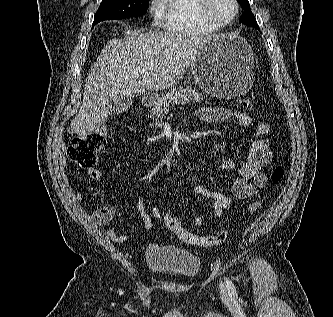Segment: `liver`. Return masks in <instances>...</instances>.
<instances>
[{"label":"liver","instance_id":"obj_1","mask_svg":"<svg viewBox=\"0 0 333 317\" xmlns=\"http://www.w3.org/2000/svg\"><path fill=\"white\" fill-rule=\"evenodd\" d=\"M212 37L139 30L108 41L86 79L81 107L68 132L83 137L96 132L108 119V102L115 96L132 98L175 86Z\"/></svg>","mask_w":333,"mask_h":317}]
</instances>
